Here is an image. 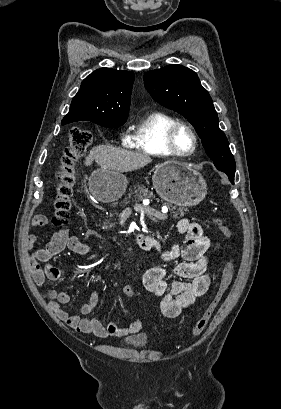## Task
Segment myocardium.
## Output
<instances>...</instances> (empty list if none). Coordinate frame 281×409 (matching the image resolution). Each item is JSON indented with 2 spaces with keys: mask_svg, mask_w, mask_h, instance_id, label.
<instances>
[{
  "mask_svg": "<svg viewBox=\"0 0 281 409\" xmlns=\"http://www.w3.org/2000/svg\"><path fill=\"white\" fill-rule=\"evenodd\" d=\"M187 133L191 138V149L184 151L180 145V136L182 133ZM168 146L170 150L179 157H189L195 153L198 146V138L191 126L185 122H178L172 126L168 135Z\"/></svg>",
  "mask_w": 281,
  "mask_h": 409,
  "instance_id": "f54148a6",
  "label": "myocardium"
}]
</instances>
